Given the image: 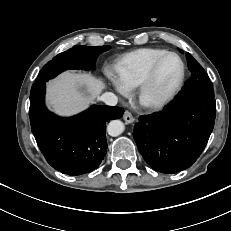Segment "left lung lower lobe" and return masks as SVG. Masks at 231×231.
Instances as JSON below:
<instances>
[{
	"label": "left lung lower lobe",
	"instance_id": "0a47b994",
	"mask_svg": "<svg viewBox=\"0 0 231 231\" xmlns=\"http://www.w3.org/2000/svg\"><path fill=\"white\" fill-rule=\"evenodd\" d=\"M215 116L214 97H176L161 112L140 116L133 137L148 165L162 173H176L201 155Z\"/></svg>",
	"mask_w": 231,
	"mask_h": 231
}]
</instances>
